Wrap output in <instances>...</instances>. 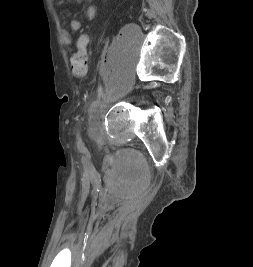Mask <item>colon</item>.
Returning a JSON list of instances; mask_svg holds the SVG:
<instances>
[{
	"mask_svg": "<svg viewBox=\"0 0 253 267\" xmlns=\"http://www.w3.org/2000/svg\"><path fill=\"white\" fill-rule=\"evenodd\" d=\"M72 72L77 77H83L88 70L87 37L82 35L77 41V51L71 57Z\"/></svg>",
	"mask_w": 253,
	"mask_h": 267,
	"instance_id": "1",
	"label": "colon"
}]
</instances>
